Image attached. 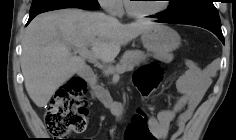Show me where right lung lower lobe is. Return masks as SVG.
Instances as JSON below:
<instances>
[{"label": "right lung lower lobe", "instance_id": "right-lung-lower-lobe-1", "mask_svg": "<svg viewBox=\"0 0 236 140\" xmlns=\"http://www.w3.org/2000/svg\"><path fill=\"white\" fill-rule=\"evenodd\" d=\"M38 14H39V13L30 14L27 24H29V22H30L35 16H37Z\"/></svg>", "mask_w": 236, "mask_h": 140}]
</instances>
